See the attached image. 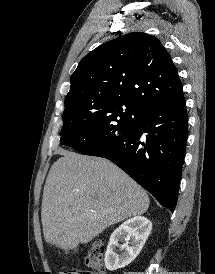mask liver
I'll use <instances>...</instances> for the list:
<instances>
[{"mask_svg":"<svg viewBox=\"0 0 215 274\" xmlns=\"http://www.w3.org/2000/svg\"><path fill=\"white\" fill-rule=\"evenodd\" d=\"M42 199L44 239L68 250L88 243L110 225L142 215L146 192L109 160L60 150Z\"/></svg>","mask_w":215,"mask_h":274,"instance_id":"obj_1","label":"liver"}]
</instances>
